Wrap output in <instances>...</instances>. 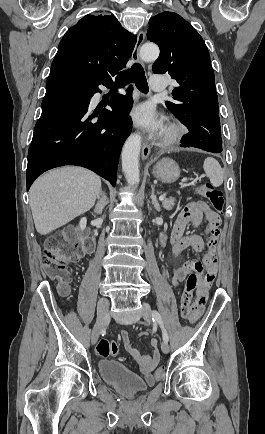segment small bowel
Listing matches in <instances>:
<instances>
[{
	"mask_svg": "<svg viewBox=\"0 0 265 434\" xmlns=\"http://www.w3.org/2000/svg\"><path fill=\"white\" fill-rule=\"evenodd\" d=\"M220 216L214 212L206 202L193 201L183 207L179 213L176 222L168 233H164L161 237L163 246L169 240L172 248V257L177 261L181 252L187 248L200 252L204 247V239L198 235H185L187 226L194 227L205 226V230L209 235V250L204 258V265L197 261L187 260L181 264L174 266L172 270L171 286L176 288L186 276L194 271L199 275L201 284L196 291L195 304L191 309L189 320L196 322L203 314L205 304L208 298V290L212 284L216 274V242L219 235ZM202 274V275H201ZM146 336V333H141L140 337ZM121 339L125 349L143 366V375L148 384L154 383V378L151 370L154 368L156 361L160 357L158 349V341L153 338L150 341V347L153 350V355L147 356L139 352L132 344V340L127 330L121 331Z\"/></svg>",
	"mask_w": 265,
	"mask_h": 434,
	"instance_id": "obj_1",
	"label": "small bowel"
}]
</instances>
